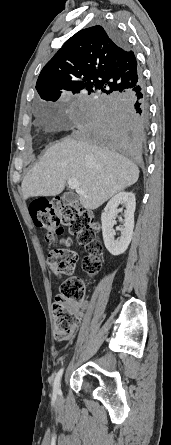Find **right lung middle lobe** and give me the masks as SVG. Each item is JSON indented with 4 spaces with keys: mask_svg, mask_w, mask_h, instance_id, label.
Wrapping results in <instances>:
<instances>
[{
    "mask_svg": "<svg viewBox=\"0 0 171 445\" xmlns=\"http://www.w3.org/2000/svg\"><path fill=\"white\" fill-rule=\"evenodd\" d=\"M104 96H105V94H103L102 97H99L98 99H101V98H103ZM95 100H96V99H95ZM92 101H94V100H92Z\"/></svg>",
    "mask_w": 171,
    "mask_h": 445,
    "instance_id": "dd1d6c3e",
    "label": "right lung middle lobe"
}]
</instances>
